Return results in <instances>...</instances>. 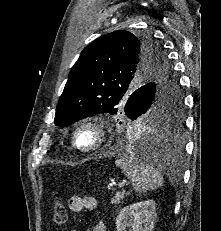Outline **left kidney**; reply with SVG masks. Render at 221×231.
I'll list each match as a JSON object with an SVG mask.
<instances>
[{
  "label": "left kidney",
  "mask_w": 221,
  "mask_h": 231,
  "mask_svg": "<svg viewBox=\"0 0 221 231\" xmlns=\"http://www.w3.org/2000/svg\"><path fill=\"white\" fill-rule=\"evenodd\" d=\"M156 218V203L146 200L125 206L116 218L117 231H153Z\"/></svg>",
  "instance_id": "1"
}]
</instances>
